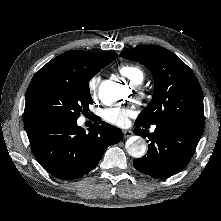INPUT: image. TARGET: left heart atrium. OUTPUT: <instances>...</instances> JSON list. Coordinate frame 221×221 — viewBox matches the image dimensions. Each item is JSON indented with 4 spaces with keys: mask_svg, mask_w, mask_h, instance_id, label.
Segmentation results:
<instances>
[{
    "mask_svg": "<svg viewBox=\"0 0 221 221\" xmlns=\"http://www.w3.org/2000/svg\"><path fill=\"white\" fill-rule=\"evenodd\" d=\"M132 111L126 107H107L101 110V118L116 126H125L128 123Z\"/></svg>",
    "mask_w": 221,
    "mask_h": 221,
    "instance_id": "obj_1",
    "label": "left heart atrium"
}]
</instances>
